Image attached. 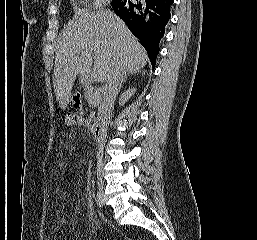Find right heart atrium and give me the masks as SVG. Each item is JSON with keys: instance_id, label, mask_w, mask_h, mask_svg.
<instances>
[{"instance_id": "obj_1", "label": "right heart atrium", "mask_w": 257, "mask_h": 240, "mask_svg": "<svg viewBox=\"0 0 257 240\" xmlns=\"http://www.w3.org/2000/svg\"><path fill=\"white\" fill-rule=\"evenodd\" d=\"M108 0H95V5L97 7H100L102 5H104Z\"/></svg>"}]
</instances>
